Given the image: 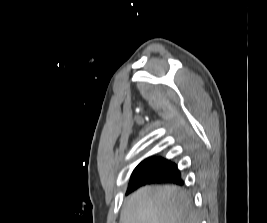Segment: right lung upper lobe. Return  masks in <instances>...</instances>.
Listing matches in <instances>:
<instances>
[{"instance_id":"obj_1","label":"right lung upper lobe","mask_w":267,"mask_h":223,"mask_svg":"<svg viewBox=\"0 0 267 223\" xmlns=\"http://www.w3.org/2000/svg\"><path fill=\"white\" fill-rule=\"evenodd\" d=\"M149 159H152V158H148V159H146V160H144V161H147V160H149ZM144 161H143V162H144Z\"/></svg>"}]
</instances>
